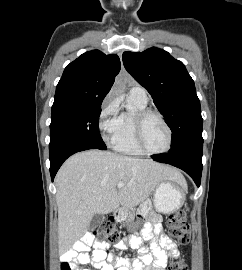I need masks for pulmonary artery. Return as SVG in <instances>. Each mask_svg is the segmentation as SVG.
Masks as SVG:
<instances>
[{
	"label": "pulmonary artery",
	"instance_id": "1",
	"mask_svg": "<svg viewBox=\"0 0 242 270\" xmlns=\"http://www.w3.org/2000/svg\"><path fill=\"white\" fill-rule=\"evenodd\" d=\"M129 96L137 100L147 102L146 90L141 86H134L129 91Z\"/></svg>",
	"mask_w": 242,
	"mask_h": 270
}]
</instances>
